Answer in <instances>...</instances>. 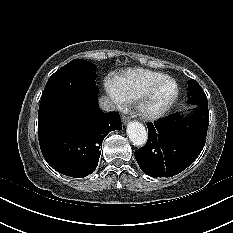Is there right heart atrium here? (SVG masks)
Listing matches in <instances>:
<instances>
[{"label":"right heart atrium","mask_w":233,"mask_h":233,"mask_svg":"<svg viewBox=\"0 0 233 233\" xmlns=\"http://www.w3.org/2000/svg\"><path fill=\"white\" fill-rule=\"evenodd\" d=\"M105 88L110 96L112 102L114 103L115 107L119 110H122L126 107L127 100L124 99L116 90L115 85H114V80L107 79L105 82Z\"/></svg>","instance_id":"obj_1"}]
</instances>
